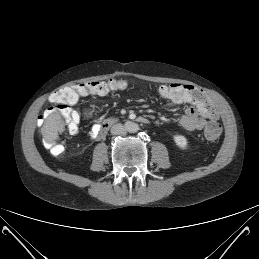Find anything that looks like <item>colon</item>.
<instances>
[{
	"label": "colon",
	"instance_id": "5ec220e1",
	"mask_svg": "<svg viewBox=\"0 0 259 259\" xmlns=\"http://www.w3.org/2000/svg\"><path fill=\"white\" fill-rule=\"evenodd\" d=\"M127 87V82L122 79L96 80L77 85L76 87H65L54 92L50 101L57 105V111L65 121L68 130L71 133L77 132L79 124V115L71 107L79 97L87 93L105 95L109 92L123 90ZM157 93L164 102H187L190 99L199 101L206 97V92L199 86L187 84H169L160 85L156 88ZM43 121V116L39 117V124ZM221 134V127L216 122H209L204 130L206 140L216 141ZM50 151L55 155L64 152V146L60 142L50 144Z\"/></svg>",
	"mask_w": 259,
	"mask_h": 259
}]
</instances>
